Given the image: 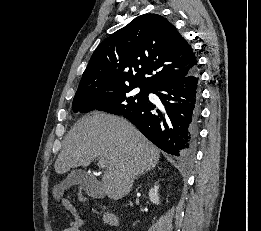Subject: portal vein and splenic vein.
Here are the masks:
<instances>
[{
	"label": "portal vein and splenic vein",
	"mask_w": 261,
	"mask_h": 231,
	"mask_svg": "<svg viewBox=\"0 0 261 231\" xmlns=\"http://www.w3.org/2000/svg\"><path fill=\"white\" fill-rule=\"evenodd\" d=\"M98 166L100 168H105L107 166V160L104 158H100L98 161Z\"/></svg>",
	"instance_id": "18ae733b"
}]
</instances>
